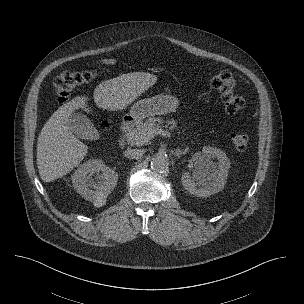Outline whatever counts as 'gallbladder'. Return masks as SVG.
<instances>
[{
	"label": "gallbladder",
	"instance_id": "1",
	"mask_svg": "<svg viewBox=\"0 0 304 304\" xmlns=\"http://www.w3.org/2000/svg\"><path fill=\"white\" fill-rule=\"evenodd\" d=\"M70 131L81 139H92L97 130L91 120L82 113H72L69 117Z\"/></svg>",
	"mask_w": 304,
	"mask_h": 304
}]
</instances>
